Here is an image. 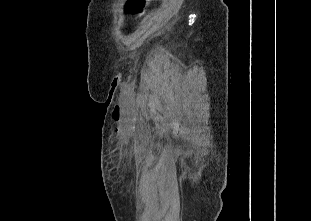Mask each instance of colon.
Listing matches in <instances>:
<instances>
[{"instance_id": "obj_1", "label": "colon", "mask_w": 311, "mask_h": 221, "mask_svg": "<svg viewBox=\"0 0 311 221\" xmlns=\"http://www.w3.org/2000/svg\"><path fill=\"white\" fill-rule=\"evenodd\" d=\"M149 0H126L125 10L122 11L123 17H130L131 14L141 18L146 10Z\"/></svg>"}]
</instances>
